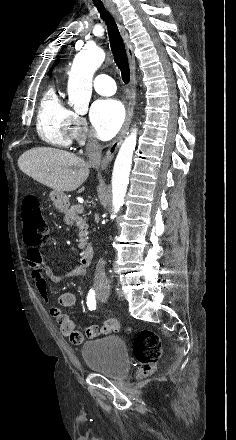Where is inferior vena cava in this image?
Segmentation results:
<instances>
[{
	"instance_id": "obj_1",
	"label": "inferior vena cava",
	"mask_w": 236,
	"mask_h": 440,
	"mask_svg": "<svg viewBox=\"0 0 236 440\" xmlns=\"http://www.w3.org/2000/svg\"><path fill=\"white\" fill-rule=\"evenodd\" d=\"M89 157L88 164L90 167L98 168L101 162L102 147L96 139H90L86 146ZM105 262L102 258L98 260L94 275V286L96 289L110 287V281L105 274Z\"/></svg>"
}]
</instances>
